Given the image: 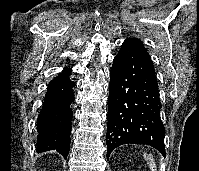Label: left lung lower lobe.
<instances>
[{"instance_id": "0a47b994", "label": "left lung lower lobe", "mask_w": 199, "mask_h": 171, "mask_svg": "<svg viewBox=\"0 0 199 171\" xmlns=\"http://www.w3.org/2000/svg\"><path fill=\"white\" fill-rule=\"evenodd\" d=\"M161 107L149 53L142 45L126 39L110 72L107 159L116 147L129 143L150 145L165 156Z\"/></svg>"}]
</instances>
